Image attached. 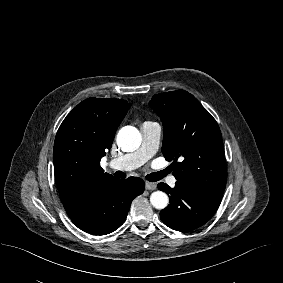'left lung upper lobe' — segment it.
<instances>
[{
    "label": "left lung upper lobe",
    "mask_w": 283,
    "mask_h": 283,
    "mask_svg": "<svg viewBox=\"0 0 283 283\" xmlns=\"http://www.w3.org/2000/svg\"><path fill=\"white\" fill-rule=\"evenodd\" d=\"M149 104L163 122L162 153L166 160H174L171 165L177 181L221 198L226 186V162L215 119L184 90L156 94Z\"/></svg>",
    "instance_id": "obj_1"
}]
</instances>
